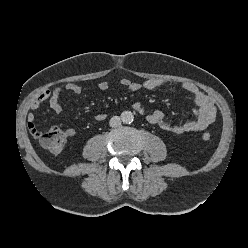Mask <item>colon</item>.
Returning a JSON list of instances; mask_svg holds the SVG:
<instances>
[{"label":"colon","mask_w":248,"mask_h":248,"mask_svg":"<svg viewBox=\"0 0 248 248\" xmlns=\"http://www.w3.org/2000/svg\"><path fill=\"white\" fill-rule=\"evenodd\" d=\"M210 134L205 132L202 134L204 141L210 140ZM39 141L51 153H59L62 151L66 144V135L58 127H51L47 132L41 133Z\"/></svg>","instance_id":"obj_1"}]
</instances>
